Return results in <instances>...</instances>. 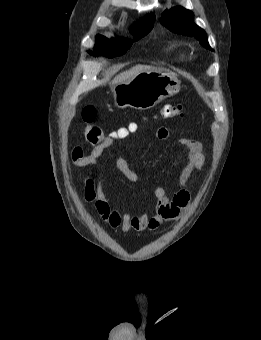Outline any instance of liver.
I'll return each instance as SVG.
<instances>
[{
    "label": "liver",
    "mask_w": 261,
    "mask_h": 340,
    "mask_svg": "<svg viewBox=\"0 0 261 340\" xmlns=\"http://www.w3.org/2000/svg\"><path fill=\"white\" fill-rule=\"evenodd\" d=\"M150 70H156L155 68H153L152 66H148V65H136L134 67H132L131 69L124 71L122 73H120L119 75H117L113 80H112V85H116L125 81H128L132 78H134L136 75H138L139 73H142L144 71H150Z\"/></svg>",
    "instance_id": "6515ba94"
}]
</instances>
